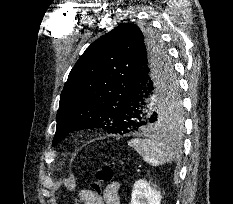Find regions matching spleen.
<instances>
[{
	"label": "spleen",
	"instance_id": "obj_1",
	"mask_svg": "<svg viewBox=\"0 0 233 204\" xmlns=\"http://www.w3.org/2000/svg\"><path fill=\"white\" fill-rule=\"evenodd\" d=\"M128 145L134 148L146 163L154 167L171 163L175 159L176 152L173 147L153 138L131 139Z\"/></svg>",
	"mask_w": 233,
	"mask_h": 204
}]
</instances>
